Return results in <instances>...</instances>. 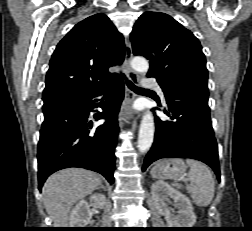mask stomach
I'll return each instance as SVG.
<instances>
[{"instance_id":"1","label":"stomach","mask_w":252,"mask_h":231,"mask_svg":"<svg viewBox=\"0 0 252 231\" xmlns=\"http://www.w3.org/2000/svg\"><path fill=\"white\" fill-rule=\"evenodd\" d=\"M186 165L182 159L172 158L161 160L151 170L153 178L160 180L177 179L186 171Z\"/></svg>"}]
</instances>
